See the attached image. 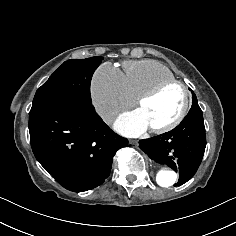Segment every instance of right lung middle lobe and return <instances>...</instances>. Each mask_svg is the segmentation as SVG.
I'll list each match as a JSON object with an SVG mask.
<instances>
[{
    "label": "right lung middle lobe",
    "mask_w": 236,
    "mask_h": 236,
    "mask_svg": "<svg viewBox=\"0 0 236 236\" xmlns=\"http://www.w3.org/2000/svg\"><path fill=\"white\" fill-rule=\"evenodd\" d=\"M102 57L65 61L36 91L29 115L67 105H92L91 78Z\"/></svg>",
    "instance_id": "1"
}]
</instances>
